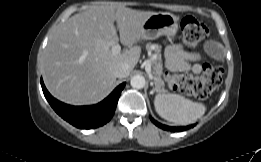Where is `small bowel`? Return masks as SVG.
<instances>
[{"mask_svg":"<svg viewBox=\"0 0 261 162\" xmlns=\"http://www.w3.org/2000/svg\"><path fill=\"white\" fill-rule=\"evenodd\" d=\"M206 52L214 59H221L223 56L222 48L213 41L205 44ZM203 57L195 52L185 51L181 44H172L167 47L166 65L171 71H192L199 74L203 66Z\"/></svg>","mask_w":261,"mask_h":162,"instance_id":"c3829d8e","label":"small bowel"}]
</instances>
